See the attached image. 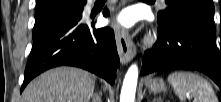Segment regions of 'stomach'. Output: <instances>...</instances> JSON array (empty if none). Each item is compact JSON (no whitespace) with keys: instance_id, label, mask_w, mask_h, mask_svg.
<instances>
[{"instance_id":"1","label":"stomach","mask_w":221,"mask_h":102,"mask_svg":"<svg viewBox=\"0 0 221 102\" xmlns=\"http://www.w3.org/2000/svg\"><path fill=\"white\" fill-rule=\"evenodd\" d=\"M146 87L153 93H160L166 89L165 83L161 78L148 79Z\"/></svg>"}]
</instances>
